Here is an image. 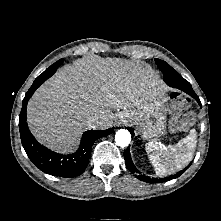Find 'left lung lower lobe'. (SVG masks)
<instances>
[{"instance_id":"left-lung-lower-lobe-1","label":"left lung lower lobe","mask_w":221,"mask_h":221,"mask_svg":"<svg viewBox=\"0 0 221 221\" xmlns=\"http://www.w3.org/2000/svg\"><path fill=\"white\" fill-rule=\"evenodd\" d=\"M168 85L170 87L179 89V90L184 91L185 93L189 94L201 106V102L199 100V97L196 95V93L192 89L190 83L188 81H186L184 78H181L179 81L169 83ZM128 130L132 133V136H133L134 135L133 130L130 129V128ZM124 158H125V163H126L128 169L130 170V172L133 173V174H140V172L137 170V168L135 167V165L132 162V159H131V156H130L129 147L124 152ZM188 167H186L184 170H182L181 172L177 173L176 175L167 177L165 179H155V178H150L148 176L146 177L144 175H138L137 178L142 180V181H144V182H148V183H159V182L169 181L171 179H175V178L179 177L184 171H186V169Z\"/></svg>"}]
</instances>
